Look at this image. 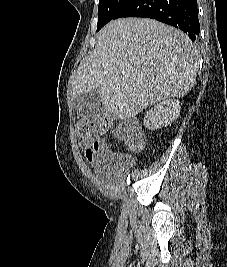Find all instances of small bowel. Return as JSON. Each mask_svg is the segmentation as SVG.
<instances>
[{"label":"small bowel","mask_w":227,"mask_h":267,"mask_svg":"<svg viewBox=\"0 0 227 267\" xmlns=\"http://www.w3.org/2000/svg\"><path fill=\"white\" fill-rule=\"evenodd\" d=\"M115 133L118 135L117 131ZM80 146L84 149L87 160L97 172H100L103 160L106 156L103 153V140L99 143H95L90 138H82ZM128 165L129 163L127 161H123L121 163L123 170L127 169Z\"/></svg>","instance_id":"small-bowel-1"}]
</instances>
